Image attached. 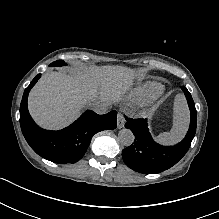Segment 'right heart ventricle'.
<instances>
[{"label": "right heart ventricle", "mask_w": 219, "mask_h": 219, "mask_svg": "<svg viewBox=\"0 0 219 219\" xmlns=\"http://www.w3.org/2000/svg\"><path fill=\"white\" fill-rule=\"evenodd\" d=\"M159 89V85L156 83H147L141 87H139L136 92V97H149L153 95Z\"/></svg>", "instance_id": "e07e8e85"}]
</instances>
